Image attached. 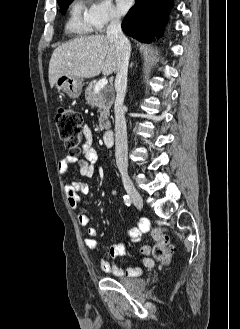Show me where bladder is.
Returning a JSON list of instances; mask_svg holds the SVG:
<instances>
[{"label": "bladder", "mask_w": 240, "mask_h": 329, "mask_svg": "<svg viewBox=\"0 0 240 329\" xmlns=\"http://www.w3.org/2000/svg\"><path fill=\"white\" fill-rule=\"evenodd\" d=\"M117 281L126 288L144 289L146 285L141 279L119 278Z\"/></svg>", "instance_id": "1"}]
</instances>
